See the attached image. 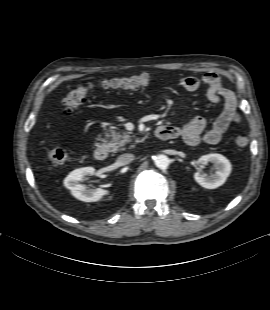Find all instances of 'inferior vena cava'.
<instances>
[{
    "label": "inferior vena cava",
    "instance_id": "inferior-vena-cava-1",
    "mask_svg": "<svg viewBox=\"0 0 270 310\" xmlns=\"http://www.w3.org/2000/svg\"><path fill=\"white\" fill-rule=\"evenodd\" d=\"M133 160H134V155L131 153H125V154H122L118 157V162L121 165H127V164L131 163Z\"/></svg>",
    "mask_w": 270,
    "mask_h": 310
}]
</instances>
